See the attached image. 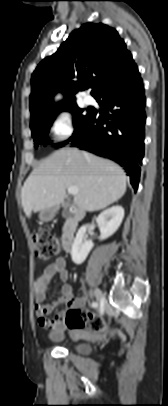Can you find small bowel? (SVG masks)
Listing matches in <instances>:
<instances>
[{
  "label": "small bowel",
  "mask_w": 168,
  "mask_h": 406,
  "mask_svg": "<svg viewBox=\"0 0 168 406\" xmlns=\"http://www.w3.org/2000/svg\"><path fill=\"white\" fill-rule=\"evenodd\" d=\"M58 275L59 279L64 283L62 286V297L55 304L68 305L72 310H79L86 303L87 298L84 296L74 297L72 287L67 283L69 274L66 269V261L63 257L57 258L54 262L48 265L41 275L37 278L34 285V298L36 303V311L38 315L39 324L50 332L51 338L60 340L63 338L64 332L68 330L72 336H94L97 339H102L101 332H93L85 327H72L65 321V311L56 312L52 319L45 317L46 313L51 312L54 307L47 306L41 307L42 303L46 300L47 293L54 276Z\"/></svg>",
  "instance_id": "small-bowel-1"
}]
</instances>
